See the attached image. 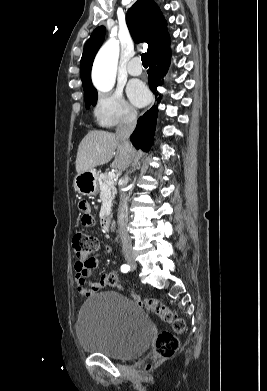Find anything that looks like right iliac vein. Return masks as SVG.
I'll use <instances>...</instances> for the list:
<instances>
[{
	"label": "right iliac vein",
	"mask_w": 267,
	"mask_h": 391,
	"mask_svg": "<svg viewBox=\"0 0 267 391\" xmlns=\"http://www.w3.org/2000/svg\"><path fill=\"white\" fill-rule=\"evenodd\" d=\"M126 261L127 263L129 264L130 267H132L133 269L136 268V262H135V259L132 255H127L126 256Z\"/></svg>",
	"instance_id": "right-iliac-vein-1"
}]
</instances>
